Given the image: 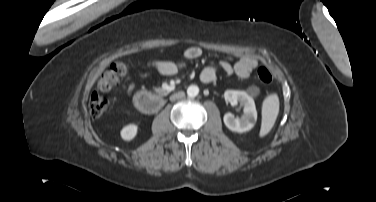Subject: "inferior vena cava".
<instances>
[{
  "label": "inferior vena cava",
  "instance_id": "602c4592",
  "mask_svg": "<svg viewBox=\"0 0 376 202\" xmlns=\"http://www.w3.org/2000/svg\"><path fill=\"white\" fill-rule=\"evenodd\" d=\"M183 96V93H177L174 97H172L173 99L175 98H179V97H182Z\"/></svg>",
  "mask_w": 376,
  "mask_h": 202
}]
</instances>
